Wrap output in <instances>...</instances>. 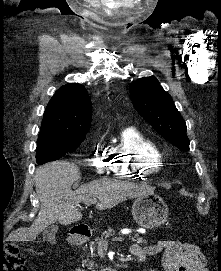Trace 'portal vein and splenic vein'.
<instances>
[{
  "mask_svg": "<svg viewBox=\"0 0 221 271\" xmlns=\"http://www.w3.org/2000/svg\"><path fill=\"white\" fill-rule=\"evenodd\" d=\"M96 197H94V201H95ZM113 242L116 240L114 237L111 239ZM119 242H128L130 239L128 237H119L117 239Z\"/></svg>",
  "mask_w": 221,
  "mask_h": 271,
  "instance_id": "18ae733b",
  "label": "portal vein and splenic vein"
}]
</instances>
